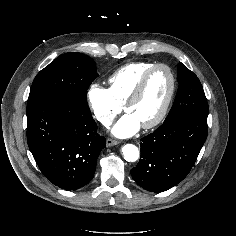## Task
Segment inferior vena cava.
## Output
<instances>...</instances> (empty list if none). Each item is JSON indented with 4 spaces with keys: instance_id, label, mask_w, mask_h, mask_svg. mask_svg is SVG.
I'll return each mask as SVG.
<instances>
[{
    "instance_id": "inferior-vena-cava-1",
    "label": "inferior vena cava",
    "mask_w": 236,
    "mask_h": 236,
    "mask_svg": "<svg viewBox=\"0 0 236 236\" xmlns=\"http://www.w3.org/2000/svg\"><path fill=\"white\" fill-rule=\"evenodd\" d=\"M100 121H101V123H102L103 125H105L106 127H108V126H110V125L112 124L111 119H109V118H107V117H102Z\"/></svg>"
}]
</instances>
